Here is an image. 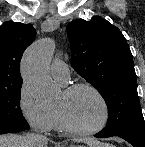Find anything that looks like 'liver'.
Masks as SVG:
<instances>
[{
    "mask_svg": "<svg viewBox=\"0 0 145 147\" xmlns=\"http://www.w3.org/2000/svg\"><path fill=\"white\" fill-rule=\"evenodd\" d=\"M83 142L87 143L89 147H113L109 144H102L93 139H85ZM0 147H38L36 144L30 142L27 136H20L16 134L0 135ZM46 147V146H41Z\"/></svg>",
    "mask_w": 145,
    "mask_h": 147,
    "instance_id": "liver-1",
    "label": "liver"
}]
</instances>
